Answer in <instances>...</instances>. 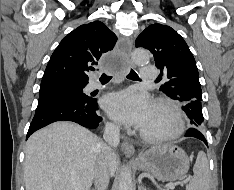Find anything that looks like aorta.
<instances>
[{
    "label": "aorta",
    "mask_w": 234,
    "mask_h": 190,
    "mask_svg": "<svg viewBox=\"0 0 234 190\" xmlns=\"http://www.w3.org/2000/svg\"><path fill=\"white\" fill-rule=\"evenodd\" d=\"M132 59L138 65L147 64L149 61V53L145 49L141 48L135 49L132 52ZM118 189L133 190L131 169L128 166H124L122 168L118 182Z\"/></svg>",
    "instance_id": "obj_1"
}]
</instances>
